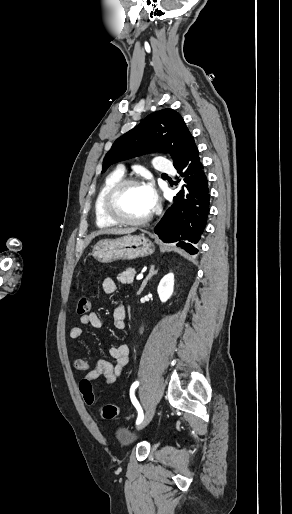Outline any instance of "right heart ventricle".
I'll return each instance as SVG.
<instances>
[{
  "mask_svg": "<svg viewBox=\"0 0 292 514\" xmlns=\"http://www.w3.org/2000/svg\"><path fill=\"white\" fill-rule=\"evenodd\" d=\"M123 178V174L119 173L118 171H114L110 173L103 181L99 189L96 191L94 195L93 200V214H94V220L98 227L100 228H106L112 226L114 223L109 220L102 211L101 201L102 196L106 189L110 187L115 182L119 181Z\"/></svg>",
  "mask_w": 292,
  "mask_h": 514,
  "instance_id": "obj_1",
  "label": "right heart ventricle"
}]
</instances>
